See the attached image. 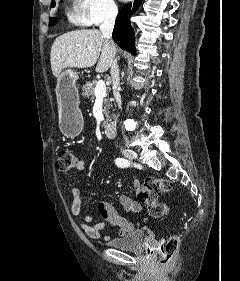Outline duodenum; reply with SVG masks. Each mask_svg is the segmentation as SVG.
I'll return each instance as SVG.
<instances>
[{"mask_svg":"<svg viewBox=\"0 0 240 281\" xmlns=\"http://www.w3.org/2000/svg\"><path fill=\"white\" fill-rule=\"evenodd\" d=\"M104 133L108 138H114L116 134V125L113 122L105 123Z\"/></svg>","mask_w":240,"mask_h":281,"instance_id":"obj_1","label":"duodenum"}]
</instances>
